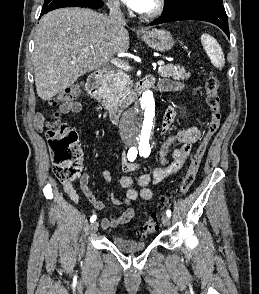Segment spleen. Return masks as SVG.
<instances>
[{
	"mask_svg": "<svg viewBox=\"0 0 259 294\" xmlns=\"http://www.w3.org/2000/svg\"><path fill=\"white\" fill-rule=\"evenodd\" d=\"M201 43L214 67L222 69L225 65V58L221 46L214 37L209 34H202Z\"/></svg>",
	"mask_w": 259,
	"mask_h": 294,
	"instance_id": "spleen-1",
	"label": "spleen"
}]
</instances>
